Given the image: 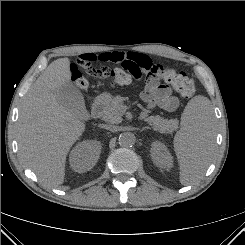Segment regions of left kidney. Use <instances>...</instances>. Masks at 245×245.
I'll use <instances>...</instances> for the list:
<instances>
[{
  "label": "left kidney",
  "mask_w": 245,
  "mask_h": 245,
  "mask_svg": "<svg viewBox=\"0 0 245 245\" xmlns=\"http://www.w3.org/2000/svg\"><path fill=\"white\" fill-rule=\"evenodd\" d=\"M151 157L154 163L163 168L172 167V156L167 147L161 142H153L151 145Z\"/></svg>",
  "instance_id": "5707ae66"
}]
</instances>
